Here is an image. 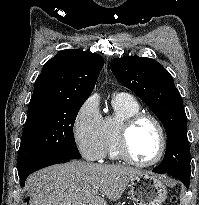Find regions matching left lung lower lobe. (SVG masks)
Here are the masks:
<instances>
[{"label": "left lung lower lobe", "mask_w": 199, "mask_h": 205, "mask_svg": "<svg viewBox=\"0 0 199 205\" xmlns=\"http://www.w3.org/2000/svg\"><path fill=\"white\" fill-rule=\"evenodd\" d=\"M153 172H155V171H153ZM173 177L178 178L186 186V188H189V181L190 180L185 179V178H181V177H176V176H173Z\"/></svg>", "instance_id": "left-lung-lower-lobe-1"}]
</instances>
